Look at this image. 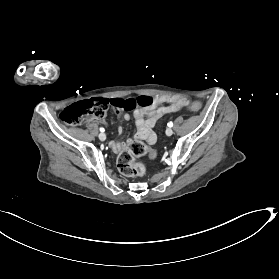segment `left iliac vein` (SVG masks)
Wrapping results in <instances>:
<instances>
[{
	"instance_id": "obj_1",
	"label": "left iliac vein",
	"mask_w": 279,
	"mask_h": 279,
	"mask_svg": "<svg viewBox=\"0 0 279 279\" xmlns=\"http://www.w3.org/2000/svg\"><path fill=\"white\" fill-rule=\"evenodd\" d=\"M173 134V130L171 128L166 129V135L171 136Z\"/></svg>"
}]
</instances>
